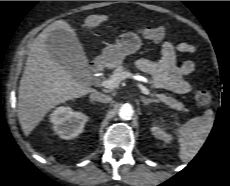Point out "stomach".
Listing matches in <instances>:
<instances>
[{
    "label": "stomach",
    "mask_w": 230,
    "mask_h": 186,
    "mask_svg": "<svg viewBox=\"0 0 230 186\" xmlns=\"http://www.w3.org/2000/svg\"><path fill=\"white\" fill-rule=\"evenodd\" d=\"M141 45L142 41L137 33H123L116 38L115 44H110L103 49L98 60L106 67H118L123 63L127 55L137 52Z\"/></svg>",
    "instance_id": "0dacf381"
}]
</instances>
